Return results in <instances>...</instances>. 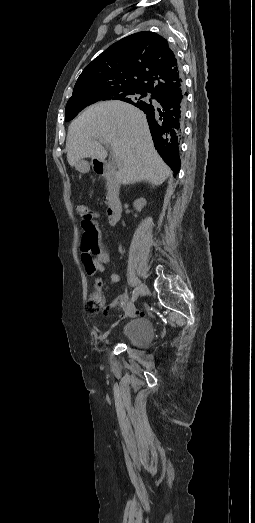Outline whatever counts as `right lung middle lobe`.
<instances>
[{
    "label": "right lung middle lobe",
    "mask_w": 255,
    "mask_h": 523,
    "mask_svg": "<svg viewBox=\"0 0 255 523\" xmlns=\"http://www.w3.org/2000/svg\"><path fill=\"white\" fill-rule=\"evenodd\" d=\"M146 96H147V94L143 93V92H126V93H123L121 95L103 98V99H100V100H97V101H94V102H91V103L66 105L65 120L66 121L72 120L86 106H89V105H91L93 103H96L98 101H101V100H121V101H124V102H127V103H131L132 101L140 100L141 98L146 97Z\"/></svg>",
    "instance_id": "obj_1"
}]
</instances>
